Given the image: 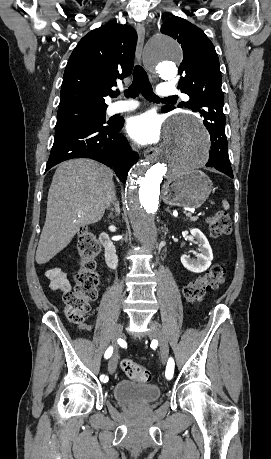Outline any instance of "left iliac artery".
<instances>
[{
    "instance_id": "44dca946",
    "label": "left iliac artery",
    "mask_w": 271,
    "mask_h": 459,
    "mask_svg": "<svg viewBox=\"0 0 271 459\" xmlns=\"http://www.w3.org/2000/svg\"><path fill=\"white\" fill-rule=\"evenodd\" d=\"M173 370H174V360L170 357L166 366V373L165 376L168 377L170 382L174 381L173 378Z\"/></svg>"
}]
</instances>
